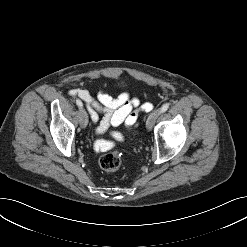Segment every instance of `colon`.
<instances>
[{"label":"colon","mask_w":247,"mask_h":247,"mask_svg":"<svg viewBox=\"0 0 247 247\" xmlns=\"http://www.w3.org/2000/svg\"><path fill=\"white\" fill-rule=\"evenodd\" d=\"M105 144L103 147H107ZM99 166L107 172H114L121 166V158L118 153L110 152L102 155L99 159Z\"/></svg>","instance_id":"5ec220e1"}]
</instances>
